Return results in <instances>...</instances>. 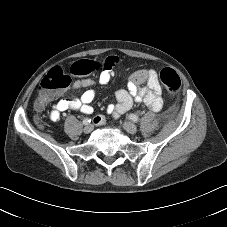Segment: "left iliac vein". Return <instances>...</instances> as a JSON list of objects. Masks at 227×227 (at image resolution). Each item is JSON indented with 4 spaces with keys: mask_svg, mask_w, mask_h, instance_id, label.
<instances>
[{
    "mask_svg": "<svg viewBox=\"0 0 227 227\" xmlns=\"http://www.w3.org/2000/svg\"><path fill=\"white\" fill-rule=\"evenodd\" d=\"M123 128L130 134H135L138 131V127L132 122H124Z\"/></svg>",
    "mask_w": 227,
    "mask_h": 227,
    "instance_id": "4c4485c4",
    "label": "left iliac vein"
}]
</instances>
